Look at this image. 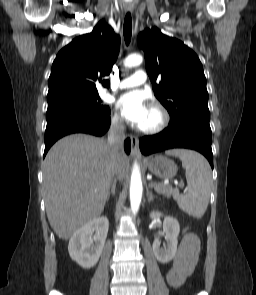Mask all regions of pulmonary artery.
<instances>
[{
  "label": "pulmonary artery",
  "mask_w": 256,
  "mask_h": 295,
  "mask_svg": "<svg viewBox=\"0 0 256 295\" xmlns=\"http://www.w3.org/2000/svg\"><path fill=\"white\" fill-rule=\"evenodd\" d=\"M147 81L146 72L142 69L136 70L132 75L121 80L117 86V89H127L136 86H140Z\"/></svg>",
  "instance_id": "pulmonary-artery-1"
}]
</instances>
